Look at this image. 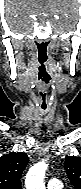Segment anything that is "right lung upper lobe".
Instances as JSON below:
<instances>
[{
	"label": "right lung upper lobe",
	"mask_w": 81,
	"mask_h": 189,
	"mask_svg": "<svg viewBox=\"0 0 81 189\" xmlns=\"http://www.w3.org/2000/svg\"><path fill=\"white\" fill-rule=\"evenodd\" d=\"M28 163L23 152H12L0 157V189H21L20 177Z\"/></svg>",
	"instance_id": "obj_1"
}]
</instances>
